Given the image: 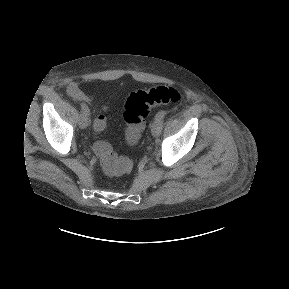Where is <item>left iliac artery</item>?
<instances>
[{
    "label": "left iliac artery",
    "instance_id": "left-iliac-artery-1",
    "mask_svg": "<svg viewBox=\"0 0 289 289\" xmlns=\"http://www.w3.org/2000/svg\"><path fill=\"white\" fill-rule=\"evenodd\" d=\"M166 114H167V111H160L156 114V119L163 120Z\"/></svg>",
    "mask_w": 289,
    "mask_h": 289
}]
</instances>
